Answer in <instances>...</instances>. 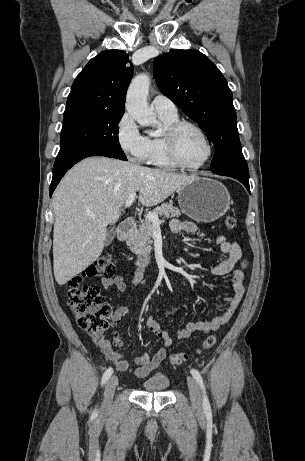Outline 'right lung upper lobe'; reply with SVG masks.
Returning <instances> with one entry per match:
<instances>
[{"instance_id":"1","label":"right lung upper lobe","mask_w":305,"mask_h":461,"mask_svg":"<svg viewBox=\"0 0 305 461\" xmlns=\"http://www.w3.org/2000/svg\"><path fill=\"white\" fill-rule=\"evenodd\" d=\"M129 56L108 50L91 59L73 82L66 108L90 107L124 113L127 88L133 75Z\"/></svg>"}]
</instances>
